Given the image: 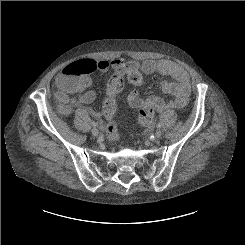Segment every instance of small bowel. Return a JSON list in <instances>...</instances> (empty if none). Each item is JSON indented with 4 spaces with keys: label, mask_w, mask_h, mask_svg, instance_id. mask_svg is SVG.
<instances>
[{
    "label": "small bowel",
    "mask_w": 245,
    "mask_h": 245,
    "mask_svg": "<svg viewBox=\"0 0 245 245\" xmlns=\"http://www.w3.org/2000/svg\"><path fill=\"white\" fill-rule=\"evenodd\" d=\"M97 70L107 71L111 69L113 71V76L121 75L124 71L131 72L134 70H140L144 74L149 75L154 72H158L164 75L172 77L175 82L164 81L162 83V90L172 95L174 98L170 100H164L159 97L151 96L146 99H142L136 90H133L128 95V100L132 107H139L144 103L151 104L154 111L161 112L164 110L172 108H183L187 105L190 91L191 82L188 73L176 63L167 59H157V60H145L140 64H134L126 62L122 58H114L111 61L97 60L95 61ZM64 75L61 71L56 77V84L58 80ZM88 86L91 84L90 78H87ZM87 86V87H88ZM86 87V88H87ZM85 89V88H84ZM109 85L107 88V92ZM96 99V93L94 91H85L79 98L70 99L72 105L78 106L82 104H89ZM90 112L98 116V114L92 110Z\"/></svg>",
    "instance_id": "c3829d8e"
}]
</instances>
